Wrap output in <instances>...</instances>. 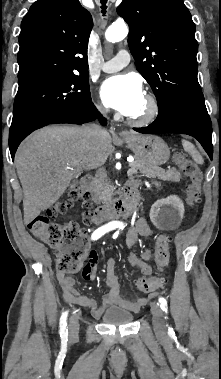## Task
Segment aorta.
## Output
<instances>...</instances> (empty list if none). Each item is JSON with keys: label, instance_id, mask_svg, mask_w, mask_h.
<instances>
[{"label": "aorta", "instance_id": "aorta-1", "mask_svg": "<svg viewBox=\"0 0 221 379\" xmlns=\"http://www.w3.org/2000/svg\"><path fill=\"white\" fill-rule=\"evenodd\" d=\"M128 35V27L125 23H113L105 32L106 40L112 43L123 40Z\"/></svg>", "mask_w": 221, "mask_h": 379}]
</instances>
